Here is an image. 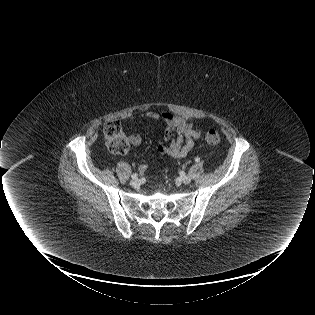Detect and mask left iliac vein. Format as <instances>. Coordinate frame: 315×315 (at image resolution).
<instances>
[{
	"label": "left iliac vein",
	"instance_id": "1",
	"mask_svg": "<svg viewBox=\"0 0 315 315\" xmlns=\"http://www.w3.org/2000/svg\"><path fill=\"white\" fill-rule=\"evenodd\" d=\"M180 180L184 184H189L191 182V176H189V175H182L180 177Z\"/></svg>",
	"mask_w": 315,
	"mask_h": 315
}]
</instances>
